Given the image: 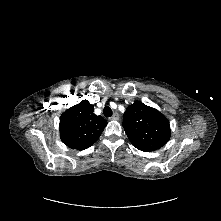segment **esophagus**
<instances>
[{
  "instance_id": "34e87169",
  "label": "esophagus",
  "mask_w": 221,
  "mask_h": 221,
  "mask_svg": "<svg viewBox=\"0 0 221 221\" xmlns=\"http://www.w3.org/2000/svg\"><path fill=\"white\" fill-rule=\"evenodd\" d=\"M117 119H119V114L115 112V113L112 115V117H110V120H117Z\"/></svg>"
}]
</instances>
